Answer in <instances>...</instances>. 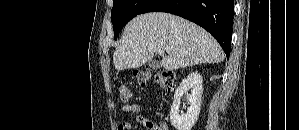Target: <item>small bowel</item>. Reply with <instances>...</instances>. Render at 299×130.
<instances>
[{
	"instance_id": "obj_1",
	"label": "small bowel",
	"mask_w": 299,
	"mask_h": 130,
	"mask_svg": "<svg viewBox=\"0 0 299 130\" xmlns=\"http://www.w3.org/2000/svg\"><path fill=\"white\" fill-rule=\"evenodd\" d=\"M121 111L123 113H133L135 115L136 121L149 130H156L158 126L141 114V106L138 104L124 105L121 108ZM159 126L164 128V130H167V127L165 125H159ZM130 128L131 127L129 123L123 122L118 125L117 130H130Z\"/></svg>"
}]
</instances>
